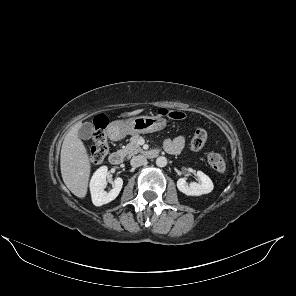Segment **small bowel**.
Returning <instances> with one entry per match:
<instances>
[{
	"instance_id": "1",
	"label": "small bowel",
	"mask_w": 296,
	"mask_h": 296,
	"mask_svg": "<svg viewBox=\"0 0 296 296\" xmlns=\"http://www.w3.org/2000/svg\"><path fill=\"white\" fill-rule=\"evenodd\" d=\"M186 137L184 135H179L174 139H168L164 143V147L169 154L178 155L180 154L185 145Z\"/></svg>"
}]
</instances>
